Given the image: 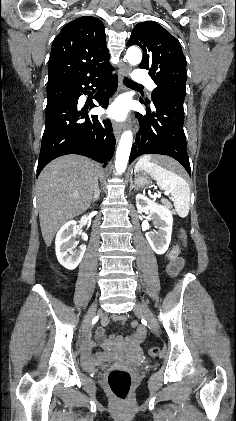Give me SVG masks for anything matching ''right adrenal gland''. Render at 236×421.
<instances>
[{
  "label": "right adrenal gland",
  "instance_id": "right-adrenal-gland-1",
  "mask_svg": "<svg viewBox=\"0 0 236 421\" xmlns=\"http://www.w3.org/2000/svg\"><path fill=\"white\" fill-rule=\"evenodd\" d=\"M98 198H100V190H99V188H98V194H97V196L95 194V196L93 198V202H95V200H98Z\"/></svg>",
  "mask_w": 236,
  "mask_h": 421
}]
</instances>
